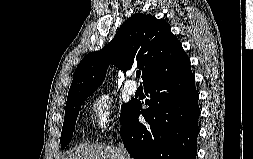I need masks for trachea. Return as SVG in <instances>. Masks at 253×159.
Masks as SVG:
<instances>
[{"instance_id": "obj_1", "label": "trachea", "mask_w": 253, "mask_h": 159, "mask_svg": "<svg viewBox=\"0 0 253 159\" xmlns=\"http://www.w3.org/2000/svg\"><path fill=\"white\" fill-rule=\"evenodd\" d=\"M141 71H136V77H140Z\"/></svg>"}]
</instances>
